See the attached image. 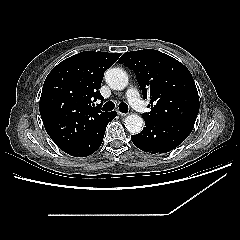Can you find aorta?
<instances>
[{
  "instance_id": "aorta-1",
  "label": "aorta",
  "mask_w": 240,
  "mask_h": 240,
  "mask_svg": "<svg viewBox=\"0 0 240 240\" xmlns=\"http://www.w3.org/2000/svg\"><path fill=\"white\" fill-rule=\"evenodd\" d=\"M105 81L112 89L123 90L128 85V75L120 68H110L105 72ZM124 122L131 134H138L143 130L144 120L137 114H129Z\"/></svg>"
}]
</instances>
